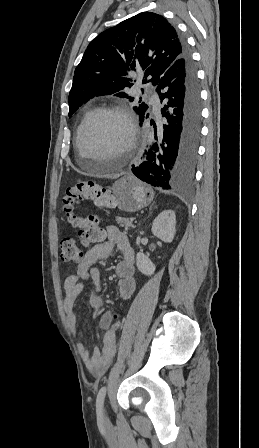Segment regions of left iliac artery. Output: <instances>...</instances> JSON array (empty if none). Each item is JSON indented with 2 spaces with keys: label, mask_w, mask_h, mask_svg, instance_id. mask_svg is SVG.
<instances>
[{
  "label": "left iliac artery",
  "mask_w": 259,
  "mask_h": 448,
  "mask_svg": "<svg viewBox=\"0 0 259 448\" xmlns=\"http://www.w3.org/2000/svg\"><path fill=\"white\" fill-rule=\"evenodd\" d=\"M106 386H103L98 394H97V399H96V406L98 409H102L103 407V403H104V399H105V395H106Z\"/></svg>",
  "instance_id": "1"
}]
</instances>
